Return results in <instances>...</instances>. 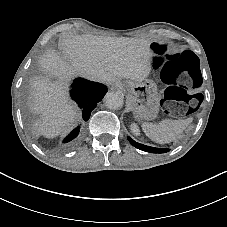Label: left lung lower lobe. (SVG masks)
Returning <instances> with one entry per match:
<instances>
[{"label":"left lung lower lobe","instance_id":"obj_1","mask_svg":"<svg viewBox=\"0 0 227 227\" xmlns=\"http://www.w3.org/2000/svg\"><path fill=\"white\" fill-rule=\"evenodd\" d=\"M128 140L133 146H135L136 148H138L140 150L146 151V152H150V153H165V152L169 151V149L154 148V147L142 145L140 143L135 142L130 137H128Z\"/></svg>","mask_w":227,"mask_h":227}]
</instances>
